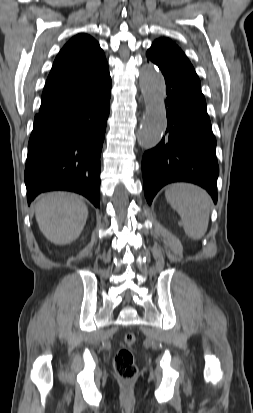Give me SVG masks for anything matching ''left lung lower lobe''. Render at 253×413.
<instances>
[{
    "label": "left lung lower lobe",
    "instance_id": "1",
    "mask_svg": "<svg viewBox=\"0 0 253 413\" xmlns=\"http://www.w3.org/2000/svg\"><path fill=\"white\" fill-rule=\"evenodd\" d=\"M166 82L167 132L142 158L144 193L151 204L156 193L172 182H191L217 202L216 139L212 132L200 80L161 69Z\"/></svg>",
    "mask_w": 253,
    "mask_h": 413
}]
</instances>
